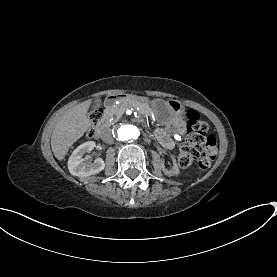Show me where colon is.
I'll return each instance as SVG.
<instances>
[{"label":"colon","mask_w":277,"mask_h":277,"mask_svg":"<svg viewBox=\"0 0 277 277\" xmlns=\"http://www.w3.org/2000/svg\"><path fill=\"white\" fill-rule=\"evenodd\" d=\"M103 115L102 106L93 109L91 120L98 122ZM187 136L184 139L177 157V164L181 168H187L197 163L201 169L210 167L216 155V138L207 135V124L197 111L189 110L186 113ZM97 125H90L85 131L86 139H94L98 133Z\"/></svg>","instance_id":"obj_1"}]
</instances>
